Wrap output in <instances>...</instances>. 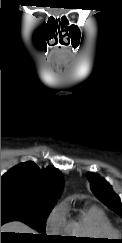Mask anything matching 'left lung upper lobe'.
I'll use <instances>...</instances> for the list:
<instances>
[{"instance_id":"left-lung-upper-lobe-1","label":"left lung upper lobe","mask_w":122,"mask_h":243,"mask_svg":"<svg viewBox=\"0 0 122 243\" xmlns=\"http://www.w3.org/2000/svg\"><path fill=\"white\" fill-rule=\"evenodd\" d=\"M87 178L89 179L91 190L95 196L122 217V205L120 198L114 193L108 182H106L98 174L93 173H88Z\"/></svg>"}]
</instances>
